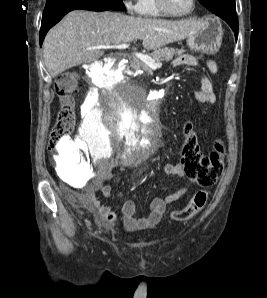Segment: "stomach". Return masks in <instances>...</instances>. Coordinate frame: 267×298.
<instances>
[{"label":"stomach","instance_id":"obj_1","mask_svg":"<svg viewBox=\"0 0 267 298\" xmlns=\"http://www.w3.org/2000/svg\"><path fill=\"white\" fill-rule=\"evenodd\" d=\"M223 29L216 19L207 18L204 27L193 36L187 37L188 46L197 52L215 54L222 42Z\"/></svg>","mask_w":267,"mask_h":298}]
</instances>
